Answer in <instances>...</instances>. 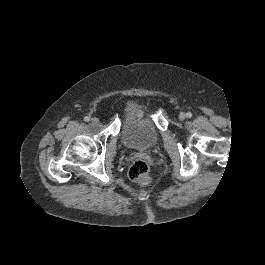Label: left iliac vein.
<instances>
[{
	"mask_svg": "<svg viewBox=\"0 0 265 265\" xmlns=\"http://www.w3.org/2000/svg\"><path fill=\"white\" fill-rule=\"evenodd\" d=\"M186 118V114L184 113V112H181L180 114H179V119L180 120H184Z\"/></svg>",
	"mask_w": 265,
	"mask_h": 265,
	"instance_id": "left-iliac-vein-1",
	"label": "left iliac vein"
}]
</instances>
